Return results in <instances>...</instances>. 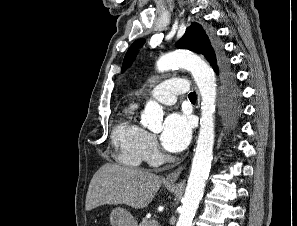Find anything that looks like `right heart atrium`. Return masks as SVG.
<instances>
[{"instance_id":"right-heart-atrium-1","label":"right heart atrium","mask_w":297,"mask_h":226,"mask_svg":"<svg viewBox=\"0 0 297 226\" xmlns=\"http://www.w3.org/2000/svg\"><path fill=\"white\" fill-rule=\"evenodd\" d=\"M144 160L155 163L160 156L156 138L152 134H147L146 140L144 143Z\"/></svg>"}]
</instances>
